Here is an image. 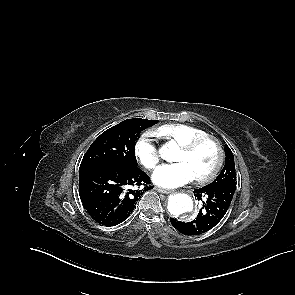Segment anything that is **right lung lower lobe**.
<instances>
[{
    "instance_id": "right-lung-lower-lobe-1",
    "label": "right lung lower lobe",
    "mask_w": 295,
    "mask_h": 295,
    "mask_svg": "<svg viewBox=\"0 0 295 295\" xmlns=\"http://www.w3.org/2000/svg\"><path fill=\"white\" fill-rule=\"evenodd\" d=\"M149 176L136 166L115 165L79 170L83 206L99 224L115 226L127 219L142 194L152 189ZM144 185L133 190L131 186Z\"/></svg>"
}]
</instances>
